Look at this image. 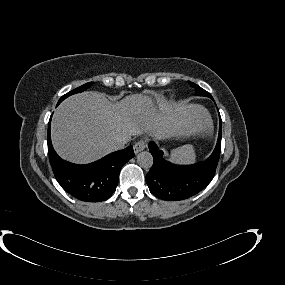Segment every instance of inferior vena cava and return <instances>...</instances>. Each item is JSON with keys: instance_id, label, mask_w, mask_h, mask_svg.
Returning a JSON list of instances; mask_svg holds the SVG:
<instances>
[{"instance_id": "obj_1", "label": "inferior vena cava", "mask_w": 285, "mask_h": 285, "mask_svg": "<svg viewBox=\"0 0 285 285\" xmlns=\"http://www.w3.org/2000/svg\"><path fill=\"white\" fill-rule=\"evenodd\" d=\"M128 141L129 139L126 137L116 138L110 142V148L112 150H121L125 147Z\"/></svg>"}]
</instances>
